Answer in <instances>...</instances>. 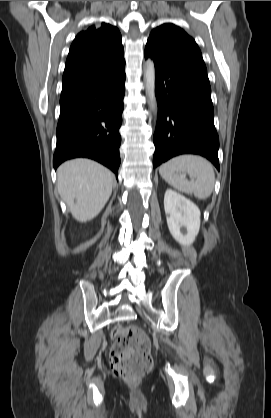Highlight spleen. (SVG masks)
I'll list each match as a JSON object with an SVG mask.
<instances>
[{
    "instance_id": "1",
    "label": "spleen",
    "mask_w": 271,
    "mask_h": 418,
    "mask_svg": "<svg viewBox=\"0 0 271 418\" xmlns=\"http://www.w3.org/2000/svg\"><path fill=\"white\" fill-rule=\"evenodd\" d=\"M187 173L188 181L181 173ZM161 177L172 187L186 194H194L199 199L208 198L215 185L212 164L197 155H181L170 159L159 168Z\"/></svg>"
}]
</instances>
